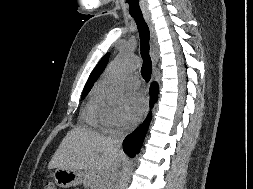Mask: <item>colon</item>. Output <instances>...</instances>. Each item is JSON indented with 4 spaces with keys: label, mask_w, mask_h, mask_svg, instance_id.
Segmentation results:
<instances>
[{
    "label": "colon",
    "mask_w": 253,
    "mask_h": 189,
    "mask_svg": "<svg viewBox=\"0 0 253 189\" xmlns=\"http://www.w3.org/2000/svg\"><path fill=\"white\" fill-rule=\"evenodd\" d=\"M44 189H58V187L54 183H46Z\"/></svg>",
    "instance_id": "1"
}]
</instances>
